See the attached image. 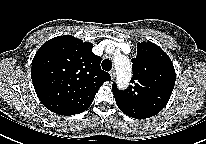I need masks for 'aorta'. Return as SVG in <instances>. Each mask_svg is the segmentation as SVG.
Masks as SVG:
<instances>
[{
	"instance_id": "762f6f07",
	"label": "aorta",
	"mask_w": 206,
	"mask_h": 144,
	"mask_svg": "<svg viewBox=\"0 0 206 144\" xmlns=\"http://www.w3.org/2000/svg\"><path fill=\"white\" fill-rule=\"evenodd\" d=\"M114 66L117 72V84L120 88L127 87L132 77L131 64L129 59L124 55L114 58Z\"/></svg>"
}]
</instances>
